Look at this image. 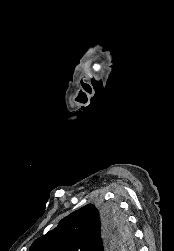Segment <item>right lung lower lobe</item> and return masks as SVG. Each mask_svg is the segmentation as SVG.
<instances>
[{
  "label": "right lung lower lobe",
  "mask_w": 174,
  "mask_h": 251,
  "mask_svg": "<svg viewBox=\"0 0 174 251\" xmlns=\"http://www.w3.org/2000/svg\"><path fill=\"white\" fill-rule=\"evenodd\" d=\"M102 230L103 231H102V236H101V244L105 248L109 247L108 249H104V251H107V250L116 251L110 247L113 245L114 236L118 232L117 227L113 225L112 223H110L106 218H104ZM118 250L119 249H117V251Z\"/></svg>",
  "instance_id": "1"
}]
</instances>
